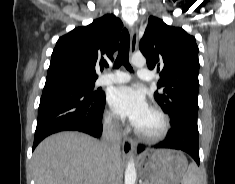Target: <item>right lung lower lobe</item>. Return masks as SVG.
Wrapping results in <instances>:
<instances>
[{
    "label": "right lung lower lobe",
    "instance_id": "right-lung-lower-lobe-1",
    "mask_svg": "<svg viewBox=\"0 0 235 184\" xmlns=\"http://www.w3.org/2000/svg\"><path fill=\"white\" fill-rule=\"evenodd\" d=\"M104 107L105 95L94 96L63 81L45 84L32 150L45 137L61 131H80L99 138Z\"/></svg>",
    "mask_w": 235,
    "mask_h": 184
}]
</instances>
